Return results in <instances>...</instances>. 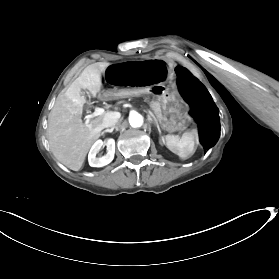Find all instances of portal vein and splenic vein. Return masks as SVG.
Instances as JSON below:
<instances>
[{
    "mask_svg": "<svg viewBox=\"0 0 279 279\" xmlns=\"http://www.w3.org/2000/svg\"><path fill=\"white\" fill-rule=\"evenodd\" d=\"M93 111L94 112H93L92 115H87L86 116V124H88L90 118L102 115L104 113V109L99 108L98 106H93Z\"/></svg>",
    "mask_w": 279,
    "mask_h": 279,
    "instance_id": "1",
    "label": "portal vein and splenic vein"
}]
</instances>
